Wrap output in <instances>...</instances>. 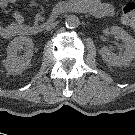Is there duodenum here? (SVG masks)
<instances>
[{
	"mask_svg": "<svg viewBox=\"0 0 135 135\" xmlns=\"http://www.w3.org/2000/svg\"><path fill=\"white\" fill-rule=\"evenodd\" d=\"M78 8H80L81 10H84V11H85V10H88L86 6L83 7V8H81L80 6H78ZM42 31H43V28H41V27H38V28L35 29V30L31 29V32H33L34 34H40V33H42ZM25 32L28 33L29 30L25 28Z\"/></svg>",
	"mask_w": 135,
	"mask_h": 135,
	"instance_id": "obj_1",
	"label": "duodenum"
}]
</instances>
